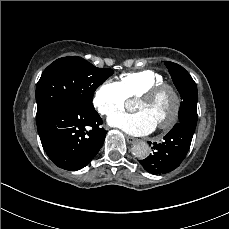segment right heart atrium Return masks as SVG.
<instances>
[{
    "label": "right heart atrium",
    "mask_w": 229,
    "mask_h": 229,
    "mask_svg": "<svg viewBox=\"0 0 229 229\" xmlns=\"http://www.w3.org/2000/svg\"><path fill=\"white\" fill-rule=\"evenodd\" d=\"M127 97L121 86L113 81L106 80L95 90L92 104L102 115L110 116L124 109Z\"/></svg>",
    "instance_id": "d8ad5b80"
}]
</instances>
